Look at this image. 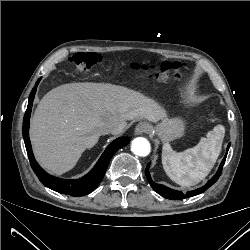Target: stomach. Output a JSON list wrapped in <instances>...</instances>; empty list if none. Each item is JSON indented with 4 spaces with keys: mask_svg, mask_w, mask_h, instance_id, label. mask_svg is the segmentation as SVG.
<instances>
[{
    "mask_svg": "<svg viewBox=\"0 0 250 250\" xmlns=\"http://www.w3.org/2000/svg\"><path fill=\"white\" fill-rule=\"evenodd\" d=\"M185 124L179 118L163 119L152 131L156 133L162 141L169 142L184 135Z\"/></svg>",
    "mask_w": 250,
    "mask_h": 250,
    "instance_id": "1",
    "label": "stomach"
}]
</instances>
